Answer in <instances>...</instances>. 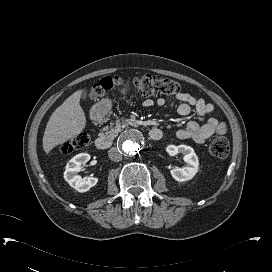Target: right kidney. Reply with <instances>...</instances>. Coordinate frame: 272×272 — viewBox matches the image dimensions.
Returning a JSON list of instances; mask_svg holds the SVG:
<instances>
[{"label":"right kidney","mask_w":272,"mask_h":272,"mask_svg":"<svg viewBox=\"0 0 272 272\" xmlns=\"http://www.w3.org/2000/svg\"><path fill=\"white\" fill-rule=\"evenodd\" d=\"M90 155L87 153H80L74 156L66 165L64 172V179L68 184L76 189L78 192H86L98 182L96 177H84L77 175L81 171V165L90 160Z\"/></svg>","instance_id":"right-kidney-1"}]
</instances>
